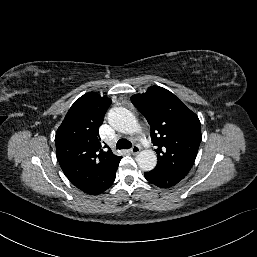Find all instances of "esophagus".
I'll use <instances>...</instances> for the list:
<instances>
[{"instance_id": "34e87169", "label": "esophagus", "mask_w": 257, "mask_h": 257, "mask_svg": "<svg viewBox=\"0 0 257 257\" xmlns=\"http://www.w3.org/2000/svg\"><path fill=\"white\" fill-rule=\"evenodd\" d=\"M130 152L133 154V155H137L139 152H140V147L138 145H134Z\"/></svg>"}]
</instances>
